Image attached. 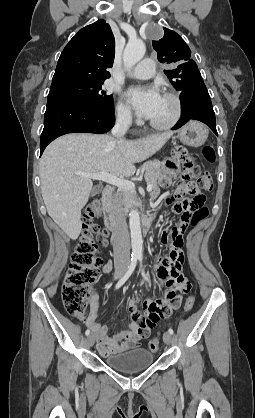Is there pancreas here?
Segmentation results:
<instances>
[{"label":"pancreas","mask_w":255,"mask_h":418,"mask_svg":"<svg viewBox=\"0 0 255 418\" xmlns=\"http://www.w3.org/2000/svg\"><path fill=\"white\" fill-rule=\"evenodd\" d=\"M161 163L158 160L148 161L142 166V171L144 172L145 180L147 184L152 185V189H157L158 179L161 175L160 169ZM122 198V205L124 210L127 211L132 206L140 205V202L135 199V195L131 191L123 190L120 193Z\"/></svg>","instance_id":"1"}]
</instances>
